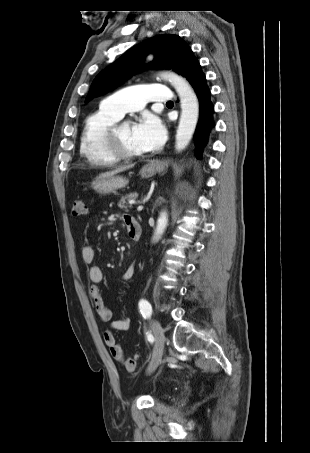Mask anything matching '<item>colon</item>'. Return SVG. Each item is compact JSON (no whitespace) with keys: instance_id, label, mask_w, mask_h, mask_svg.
Instances as JSON below:
<instances>
[{"instance_id":"colon-1","label":"colon","mask_w":310,"mask_h":453,"mask_svg":"<svg viewBox=\"0 0 310 453\" xmlns=\"http://www.w3.org/2000/svg\"><path fill=\"white\" fill-rule=\"evenodd\" d=\"M86 212H87L86 201L82 198L74 200L72 206L73 216L76 217L83 216L86 214ZM123 366L129 372L134 371L136 369V358H127L123 360Z\"/></svg>"}]
</instances>
